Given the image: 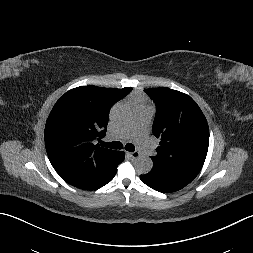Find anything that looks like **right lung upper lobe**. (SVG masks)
I'll use <instances>...</instances> for the list:
<instances>
[{
    "label": "right lung upper lobe",
    "instance_id": "cb5924a9",
    "mask_svg": "<svg viewBox=\"0 0 253 253\" xmlns=\"http://www.w3.org/2000/svg\"><path fill=\"white\" fill-rule=\"evenodd\" d=\"M131 90L80 86L56 102L44 138L49 160L62 179L87 183L101 172L115 151L93 141L105 136L111 106Z\"/></svg>",
    "mask_w": 253,
    "mask_h": 253
}]
</instances>
